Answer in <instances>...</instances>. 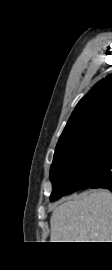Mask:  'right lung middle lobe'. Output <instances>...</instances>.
Wrapping results in <instances>:
<instances>
[{"label": "right lung middle lobe", "instance_id": "obj_1", "mask_svg": "<svg viewBox=\"0 0 112 270\" xmlns=\"http://www.w3.org/2000/svg\"><path fill=\"white\" fill-rule=\"evenodd\" d=\"M112 143V122L92 127L57 144L50 169L51 201L80 189L86 169L97 161Z\"/></svg>", "mask_w": 112, "mask_h": 270}]
</instances>
